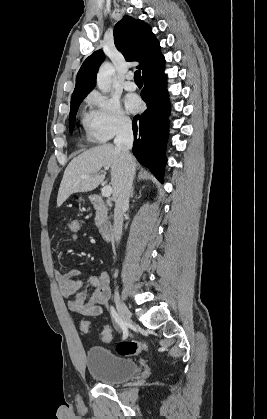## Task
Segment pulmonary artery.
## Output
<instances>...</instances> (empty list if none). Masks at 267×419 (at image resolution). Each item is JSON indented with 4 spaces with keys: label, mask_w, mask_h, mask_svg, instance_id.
Segmentation results:
<instances>
[{
    "label": "pulmonary artery",
    "mask_w": 267,
    "mask_h": 419,
    "mask_svg": "<svg viewBox=\"0 0 267 419\" xmlns=\"http://www.w3.org/2000/svg\"><path fill=\"white\" fill-rule=\"evenodd\" d=\"M124 88L128 91H134L137 88L136 83L133 81V74L128 73L126 75V81L124 83Z\"/></svg>",
    "instance_id": "1"
}]
</instances>
